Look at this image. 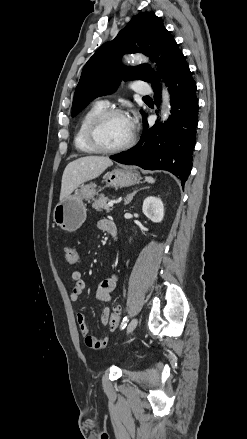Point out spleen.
<instances>
[{
	"mask_svg": "<svg viewBox=\"0 0 247 439\" xmlns=\"http://www.w3.org/2000/svg\"><path fill=\"white\" fill-rule=\"evenodd\" d=\"M145 179H146V181L149 182V183H154V182H155V179L152 178V177H145Z\"/></svg>",
	"mask_w": 247,
	"mask_h": 439,
	"instance_id": "obj_1",
	"label": "spleen"
}]
</instances>
